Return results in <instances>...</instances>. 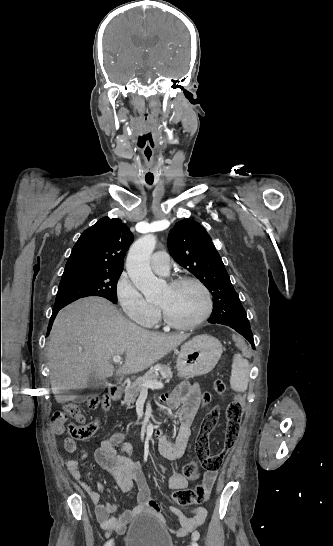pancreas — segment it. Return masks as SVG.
Returning a JSON list of instances; mask_svg holds the SVG:
<instances>
[{
  "label": "pancreas",
  "instance_id": "1",
  "mask_svg": "<svg viewBox=\"0 0 333 546\" xmlns=\"http://www.w3.org/2000/svg\"><path fill=\"white\" fill-rule=\"evenodd\" d=\"M156 369L160 371L161 377H159ZM158 378H166L167 380H170L172 378L171 368L166 365L157 364L143 376L138 377L131 385L125 388L124 403L128 406L133 404L139 393L142 391V384L145 382L157 381Z\"/></svg>",
  "mask_w": 333,
  "mask_h": 546
}]
</instances>
